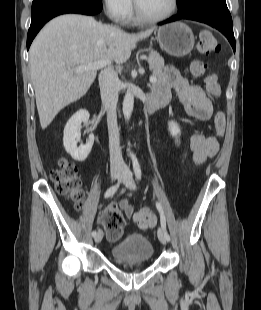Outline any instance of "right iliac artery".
I'll return each mask as SVG.
<instances>
[{"mask_svg":"<svg viewBox=\"0 0 261 310\" xmlns=\"http://www.w3.org/2000/svg\"><path fill=\"white\" fill-rule=\"evenodd\" d=\"M120 182H118L117 184H115L114 186L110 187L109 189H107V191L105 192V198L111 197L113 196V194L117 191V189L119 188ZM96 231L94 230L92 232V236L95 237L96 236Z\"/></svg>","mask_w":261,"mask_h":310,"instance_id":"obj_1","label":"right iliac artery"}]
</instances>
